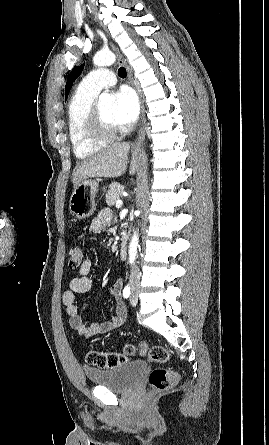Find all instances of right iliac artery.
Masks as SVG:
<instances>
[{
	"label": "right iliac artery",
	"mask_w": 269,
	"mask_h": 445,
	"mask_svg": "<svg viewBox=\"0 0 269 445\" xmlns=\"http://www.w3.org/2000/svg\"><path fill=\"white\" fill-rule=\"evenodd\" d=\"M130 296V287L127 285L123 290V297L128 298Z\"/></svg>",
	"instance_id": "1"
}]
</instances>
